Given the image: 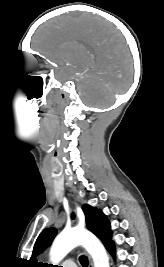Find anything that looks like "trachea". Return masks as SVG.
Masks as SVG:
<instances>
[{
    "label": "trachea",
    "mask_w": 164,
    "mask_h": 267,
    "mask_svg": "<svg viewBox=\"0 0 164 267\" xmlns=\"http://www.w3.org/2000/svg\"><path fill=\"white\" fill-rule=\"evenodd\" d=\"M79 261L83 267H88V258L85 255H81Z\"/></svg>",
    "instance_id": "1"
}]
</instances>
